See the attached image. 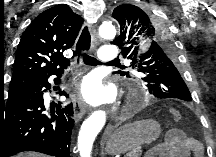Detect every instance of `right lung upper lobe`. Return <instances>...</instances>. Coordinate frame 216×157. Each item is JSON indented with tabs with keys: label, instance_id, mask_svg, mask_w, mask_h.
I'll return each mask as SVG.
<instances>
[{
	"label": "right lung upper lobe",
	"instance_id": "1",
	"mask_svg": "<svg viewBox=\"0 0 216 157\" xmlns=\"http://www.w3.org/2000/svg\"><path fill=\"white\" fill-rule=\"evenodd\" d=\"M83 19L68 5H57L38 15L22 34L14 62L9 93L65 69L69 49Z\"/></svg>",
	"mask_w": 216,
	"mask_h": 157
}]
</instances>
